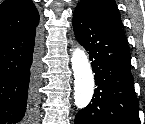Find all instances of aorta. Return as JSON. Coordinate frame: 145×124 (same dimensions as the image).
Listing matches in <instances>:
<instances>
[{"label":"aorta","instance_id":"1","mask_svg":"<svg viewBox=\"0 0 145 124\" xmlns=\"http://www.w3.org/2000/svg\"><path fill=\"white\" fill-rule=\"evenodd\" d=\"M74 73V103L82 109L86 107L94 93V75L86 53L75 48L71 57Z\"/></svg>","mask_w":145,"mask_h":124}]
</instances>
